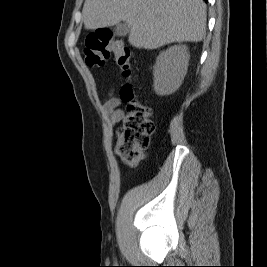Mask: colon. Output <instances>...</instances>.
<instances>
[{"label": "colon", "instance_id": "1", "mask_svg": "<svg viewBox=\"0 0 267 267\" xmlns=\"http://www.w3.org/2000/svg\"><path fill=\"white\" fill-rule=\"evenodd\" d=\"M84 54L86 64L91 67H102L113 56L116 66L128 80L120 92L126 103V114L117 133L116 153L124 164L136 166L149 146L154 123L151 120L152 109L136 98L129 82L132 75L131 51L110 30L98 29L87 36Z\"/></svg>", "mask_w": 267, "mask_h": 267}]
</instances>
